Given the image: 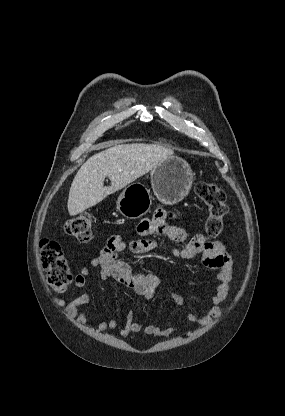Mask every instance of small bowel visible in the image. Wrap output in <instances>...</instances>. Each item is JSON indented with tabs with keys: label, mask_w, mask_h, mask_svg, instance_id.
<instances>
[{
	"label": "small bowel",
	"mask_w": 285,
	"mask_h": 416,
	"mask_svg": "<svg viewBox=\"0 0 285 416\" xmlns=\"http://www.w3.org/2000/svg\"><path fill=\"white\" fill-rule=\"evenodd\" d=\"M172 215L162 207H158L152 218H146L140 222L138 234L142 238L124 241L119 236L111 237L99 255L91 260L90 267L99 269L101 280L113 279L125 288L133 290L143 299L150 300L161 285L160 278L152 273L134 272L127 262L119 258L121 252L129 250L133 254L143 255L165 248L174 256L183 259L201 255V262L205 267L218 271L219 283L215 293L209 299L211 304L209 311L203 316H197L190 312L186 319L190 324L206 326L220 316L222 304L228 296L234 271L232 257L223 241L212 242L201 234L190 236L186 229L169 224L167 219ZM154 236L163 237L173 244L185 241L187 244L181 248L165 245L151 238ZM90 267L84 266L76 275L75 285L77 287L85 286L90 274ZM172 297L178 305H183L185 302L184 297L176 292H172ZM90 301L91 295L83 293L72 300L57 299L56 303L62 307L69 320L83 326L87 323V314L81 308ZM117 327L116 319L101 320L97 325L100 332L112 331ZM176 331L177 327L161 328L154 324L145 325L141 321H136L132 312H128L120 334L122 337H128L131 334L143 332L147 335L168 337Z\"/></svg>",
	"instance_id": "obj_1"
}]
</instances>
